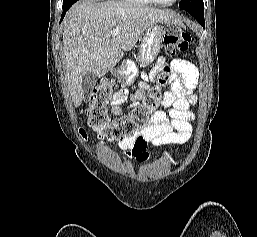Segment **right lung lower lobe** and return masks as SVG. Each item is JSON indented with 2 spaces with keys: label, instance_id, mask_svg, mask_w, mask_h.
<instances>
[{
  "label": "right lung lower lobe",
  "instance_id": "obj_1",
  "mask_svg": "<svg viewBox=\"0 0 257 237\" xmlns=\"http://www.w3.org/2000/svg\"><path fill=\"white\" fill-rule=\"evenodd\" d=\"M68 9H69V8H65V9H63V13H62L61 21H62L63 17L65 16V14H66V12H67V10H68Z\"/></svg>",
  "mask_w": 257,
  "mask_h": 237
}]
</instances>
